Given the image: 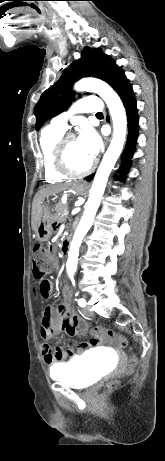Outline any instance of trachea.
<instances>
[{
	"label": "trachea",
	"instance_id": "3493384b",
	"mask_svg": "<svg viewBox=\"0 0 165 461\" xmlns=\"http://www.w3.org/2000/svg\"><path fill=\"white\" fill-rule=\"evenodd\" d=\"M101 115H103L102 112H98V113L96 114V116H101Z\"/></svg>",
	"mask_w": 165,
	"mask_h": 461
}]
</instances>
